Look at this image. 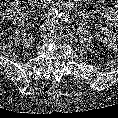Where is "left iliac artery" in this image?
<instances>
[{
  "label": "left iliac artery",
  "instance_id": "1",
  "mask_svg": "<svg viewBox=\"0 0 118 118\" xmlns=\"http://www.w3.org/2000/svg\"><path fill=\"white\" fill-rule=\"evenodd\" d=\"M60 18L61 21H64V22H69V15L65 12H62L59 14L58 16Z\"/></svg>",
  "mask_w": 118,
  "mask_h": 118
}]
</instances>
